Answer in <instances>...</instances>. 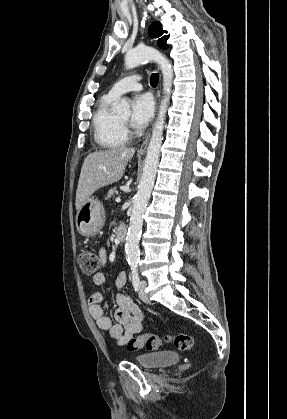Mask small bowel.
<instances>
[{
  "label": "small bowel",
  "instance_id": "obj_1",
  "mask_svg": "<svg viewBox=\"0 0 287 419\" xmlns=\"http://www.w3.org/2000/svg\"><path fill=\"white\" fill-rule=\"evenodd\" d=\"M101 256L103 259L105 258L104 251L101 252ZM93 282L96 286H102L105 283V274L103 272L95 274ZM126 283L127 275L124 272L119 273L115 281L118 290L116 294L117 309L114 314L115 324H112L110 318L104 314L100 291L92 293L88 300L89 313L98 327L120 345H124L133 335L139 333L146 319L131 297L123 292Z\"/></svg>",
  "mask_w": 287,
  "mask_h": 419
}]
</instances>
